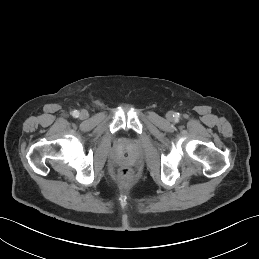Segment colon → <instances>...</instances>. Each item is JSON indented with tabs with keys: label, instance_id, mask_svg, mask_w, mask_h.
<instances>
[{
	"label": "colon",
	"instance_id": "1",
	"mask_svg": "<svg viewBox=\"0 0 259 259\" xmlns=\"http://www.w3.org/2000/svg\"><path fill=\"white\" fill-rule=\"evenodd\" d=\"M120 179L123 182H130L133 179V173L130 169L124 168L119 173Z\"/></svg>",
	"mask_w": 259,
	"mask_h": 259
}]
</instances>
